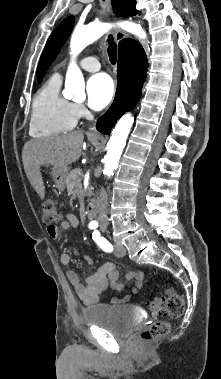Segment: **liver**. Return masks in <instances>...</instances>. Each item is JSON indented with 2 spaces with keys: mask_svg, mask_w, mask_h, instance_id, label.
<instances>
[{
  "mask_svg": "<svg viewBox=\"0 0 221 379\" xmlns=\"http://www.w3.org/2000/svg\"><path fill=\"white\" fill-rule=\"evenodd\" d=\"M84 135L75 131L59 136L32 139L25 143L22 159L27 178L41 199L45 187L40 173L44 163L53 166H68L76 162L82 153Z\"/></svg>",
  "mask_w": 221,
  "mask_h": 379,
  "instance_id": "obj_1",
  "label": "liver"
}]
</instances>
